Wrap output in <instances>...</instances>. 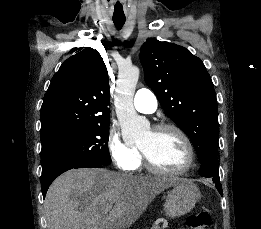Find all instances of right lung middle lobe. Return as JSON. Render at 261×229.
I'll list each match as a JSON object with an SVG mask.
<instances>
[{"mask_svg": "<svg viewBox=\"0 0 261 229\" xmlns=\"http://www.w3.org/2000/svg\"><path fill=\"white\" fill-rule=\"evenodd\" d=\"M109 122L91 126L79 136L41 151L42 174L85 164L109 165Z\"/></svg>", "mask_w": 261, "mask_h": 229, "instance_id": "right-lung-middle-lobe-1", "label": "right lung middle lobe"}]
</instances>
